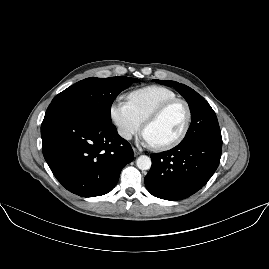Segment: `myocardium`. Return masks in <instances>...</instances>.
I'll return each mask as SVG.
<instances>
[{
  "mask_svg": "<svg viewBox=\"0 0 269 269\" xmlns=\"http://www.w3.org/2000/svg\"><path fill=\"white\" fill-rule=\"evenodd\" d=\"M175 104H181L183 105L185 112H186V120H185V124L184 127L181 131V133L172 141L164 144V145H153L150 144L151 147L153 149H155L156 151L159 152H164V151H168L174 147H176L177 145H179L187 136L189 129H190V124H191V119H192V113H191V108L189 106V104L183 100V99H179V98H175L169 101L164 102L163 104H161L160 106H158L156 109H154L151 113L148 114V116L146 117L144 123H143V130L142 133L145 136V132L147 127L154 121L156 120L158 117H160L166 110H168L170 107H172Z\"/></svg>",
  "mask_w": 269,
  "mask_h": 269,
  "instance_id": "1",
  "label": "myocardium"
}]
</instances>
